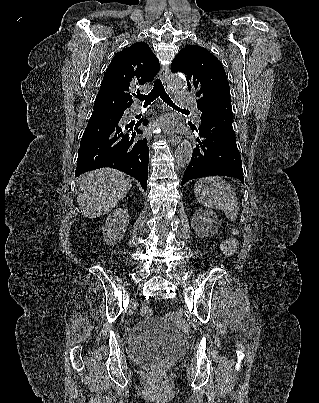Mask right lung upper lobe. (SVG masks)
<instances>
[{
  "label": "right lung upper lobe",
  "instance_id": "cb5924a9",
  "mask_svg": "<svg viewBox=\"0 0 319 403\" xmlns=\"http://www.w3.org/2000/svg\"><path fill=\"white\" fill-rule=\"evenodd\" d=\"M159 68L157 57L146 43L138 42L123 49L109 64L94 107L124 112L133 103L131 90L151 82Z\"/></svg>",
  "mask_w": 319,
  "mask_h": 403
}]
</instances>
